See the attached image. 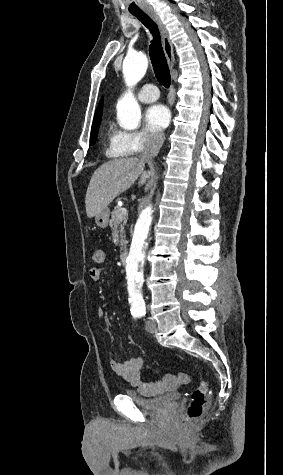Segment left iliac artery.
Wrapping results in <instances>:
<instances>
[{"label":"left iliac artery","mask_w":283,"mask_h":475,"mask_svg":"<svg viewBox=\"0 0 283 475\" xmlns=\"http://www.w3.org/2000/svg\"><path fill=\"white\" fill-rule=\"evenodd\" d=\"M140 317L144 316L146 314V311L145 310H142L140 312L137 313Z\"/></svg>","instance_id":"obj_1"}]
</instances>
